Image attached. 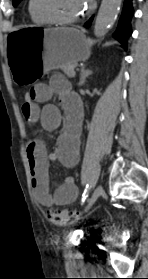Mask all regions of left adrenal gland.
I'll use <instances>...</instances> for the list:
<instances>
[{"mask_svg":"<svg viewBox=\"0 0 148 279\" xmlns=\"http://www.w3.org/2000/svg\"><path fill=\"white\" fill-rule=\"evenodd\" d=\"M92 73L93 72L91 70H87V69H85V66H83L81 68L79 86H82L85 83L86 78H88L90 75H92Z\"/></svg>","mask_w":148,"mask_h":279,"instance_id":"obj_1","label":"left adrenal gland"}]
</instances>
